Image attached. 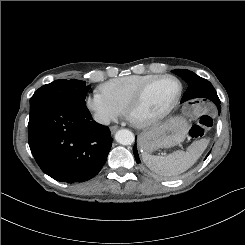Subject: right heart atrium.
Returning <instances> with one entry per match:
<instances>
[{"label":"right heart atrium","instance_id":"right-heart-atrium-1","mask_svg":"<svg viewBox=\"0 0 245 245\" xmlns=\"http://www.w3.org/2000/svg\"><path fill=\"white\" fill-rule=\"evenodd\" d=\"M85 106L93 118L102 125L110 124L124 113L119 106L99 90L86 97Z\"/></svg>","mask_w":245,"mask_h":245}]
</instances>
